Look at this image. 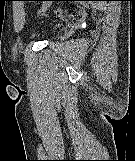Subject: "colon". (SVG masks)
Returning <instances> with one entry per match:
<instances>
[{
	"label": "colon",
	"instance_id": "5ec220e1",
	"mask_svg": "<svg viewBox=\"0 0 135 161\" xmlns=\"http://www.w3.org/2000/svg\"><path fill=\"white\" fill-rule=\"evenodd\" d=\"M19 1H26V0H19ZM57 14L60 15L61 12L60 11H57Z\"/></svg>",
	"mask_w": 135,
	"mask_h": 161
}]
</instances>
